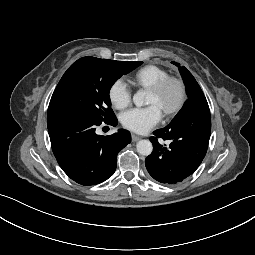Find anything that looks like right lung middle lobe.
<instances>
[{"label":"right lung middle lobe","instance_id":"1","mask_svg":"<svg viewBox=\"0 0 255 255\" xmlns=\"http://www.w3.org/2000/svg\"><path fill=\"white\" fill-rule=\"evenodd\" d=\"M143 62L83 57L73 63L59 81L48 114L72 113L107 121L115 117L109 91L122 75Z\"/></svg>","mask_w":255,"mask_h":255}]
</instances>
